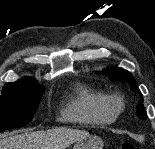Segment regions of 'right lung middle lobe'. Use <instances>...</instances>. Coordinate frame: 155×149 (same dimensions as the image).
I'll return each mask as SVG.
<instances>
[{"mask_svg":"<svg viewBox=\"0 0 155 149\" xmlns=\"http://www.w3.org/2000/svg\"><path fill=\"white\" fill-rule=\"evenodd\" d=\"M43 92L44 87L36 82L5 84L0 96V131L27 125Z\"/></svg>","mask_w":155,"mask_h":149,"instance_id":"obj_1","label":"right lung middle lobe"}]
</instances>
